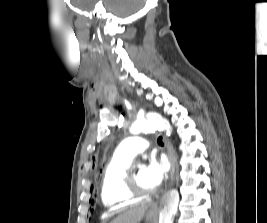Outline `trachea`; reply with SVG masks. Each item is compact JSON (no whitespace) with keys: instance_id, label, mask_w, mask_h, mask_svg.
Returning a JSON list of instances; mask_svg holds the SVG:
<instances>
[{"instance_id":"obj_1","label":"trachea","mask_w":267,"mask_h":223,"mask_svg":"<svg viewBox=\"0 0 267 223\" xmlns=\"http://www.w3.org/2000/svg\"><path fill=\"white\" fill-rule=\"evenodd\" d=\"M157 142L159 145H164L162 136L158 137Z\"/></svg>"}]
</instances>
